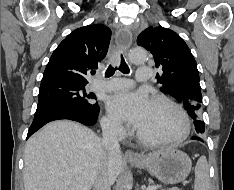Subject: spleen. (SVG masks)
Masks as SVG:
<instances>
[{"label": "spleen", "mask_w": 234, "mask_h": 190, "mask_svg": "<svg viewBox=\"0 0 234 190\" xmlns=\"http://www.w3.org/2000/svg\"><path fill=\"white\" fill-rule=\"evenodd\" d=\"M194 190H210L209 167L205 156H201L195 167Z\"/></svg>", "instance_id": "3e777b00"}]
</instances>
